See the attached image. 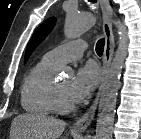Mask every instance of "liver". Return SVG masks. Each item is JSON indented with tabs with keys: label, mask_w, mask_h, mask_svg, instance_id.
I'll return each mask as SVG.
<instances>
[{
	"label": "liver",
	"mask_w": 141,
	"mask_h": 139,
	"mask_svg": "<svg viewBox=\"0 0 141 139\" xmlns=\"http://www.w3.org/2000/svg\"><path fill=\"white\" fill-rule=\"evenodd\" d=\"M66 122L45 114L25 113L16 116L11 124V139H58Z\"/></svg>",
	"instance_id": "obj_1"
}]
</instances>
